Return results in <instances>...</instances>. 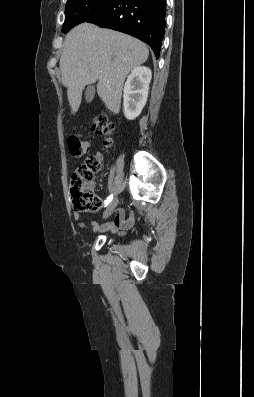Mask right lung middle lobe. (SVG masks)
<instances>
[{
  "label": "right lung middle lobe",
  "mask_w": 254,
  "mask_h": 397,
  "mask_svg": "<svg viewBox=\"0 0 254 397\" xmlns=\"http://www.w3.org/2000/svg\"><path fill=\"white\" fill-rule=\"evenodd\" d=\"M110 2L111 0H67L62 32L67 33L74 26L98 15Z\"/></svg>",
  "instance_id": "obj_1"
}]
</instances>
